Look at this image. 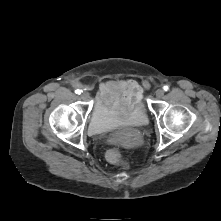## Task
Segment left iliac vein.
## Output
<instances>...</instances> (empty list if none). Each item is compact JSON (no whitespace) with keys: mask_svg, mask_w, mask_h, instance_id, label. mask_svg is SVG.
<instances>
[{"mask_svg":"<svg viewBox=\"0 0 221 221\" xmlns=\"http://www.w3.org/2000/svg\"><path fill=\"white\" fill-rule=\"evenodd\" d=\"M155 95L157 98H161L164 95V90L163 89H157L155 92Z\"/></svg>","mask_w":221,"mask_h":221,"instance_id":"1","label":"left iliac vein"}]
</instances>
